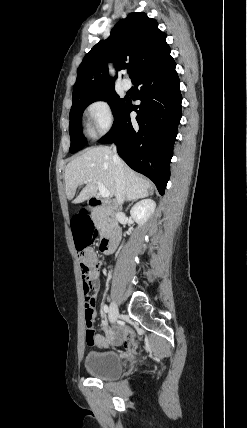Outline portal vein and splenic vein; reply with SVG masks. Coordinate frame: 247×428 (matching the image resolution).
I'll use <instances>...</instances> for the list:
<instances>
[{"mask_svg":"<svg viewBox=\"0 0 247 428\" xmlns=\"http://www.w3.org/2000/svg\"><path fill=\"white\" fill-rule=\"evenodd\" d=\"M97 186H98V189H99V191H100V195L102 196V197H109V195H110V193H109V191L105 188V186L103 185V183L102 182H100V181H97Z\"/></svg>","mask_w":247,"mask_h":428,"instance_id":"18ae733b","label":"portal vein and splenic vein"}]
</instances>
